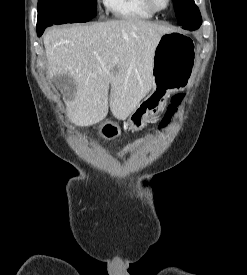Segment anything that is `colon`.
I'll use <instances>...</instances> for the list:
<instances>
[{
	"label": "colon",
	"instance_id": "colon-1",
	"mask_svg": "<svg viewBox=\"0 0 247 275\" xmlns=\"http://www.w3.org/2000/svg\"><path fill=\"white\" fill-rule=\"evenodd\" d=\"M182 99H183L182 95H176L172 98L171 104L169 105L168 110H167L164 118L162 119V121L160 123V129H165L169 126L174 114L176 113L179 105L181 104ZM145 141H146V139H139V140L135 141L134 143L127 145L123 149L122 152L129 151L132 148H134L135 146H138V145H140L141 143H143Z\"/></svg>",
	"mask_w": 247,
	"mask_h": 275
}]
</instances>
